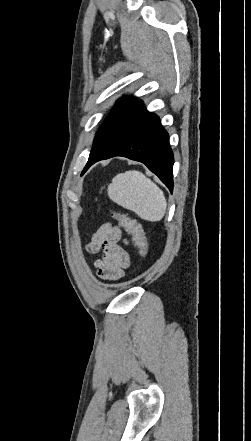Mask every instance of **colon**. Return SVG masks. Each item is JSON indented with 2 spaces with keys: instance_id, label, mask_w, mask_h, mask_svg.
I'll return each mask as SVG.
<instances>
[{
  "instance_id": "1",
  "label": "colon",
  "mask_w": 251,
  "mask_h": 441,
  "mask_svg": "<svg viewBox=\"0 0 251 441\" xmlns=\"http://www.w3.org/2000/svg\"><path fill=\"white\" fill-rule=\"evenodd\" d=\"M110 213L118 221L119 225L132 236L141 256L146 257L149 247L141 225L126 213H121L114 209H111Z\"/></svg>"
}]
</instances>
